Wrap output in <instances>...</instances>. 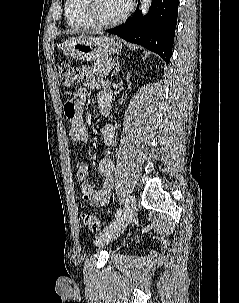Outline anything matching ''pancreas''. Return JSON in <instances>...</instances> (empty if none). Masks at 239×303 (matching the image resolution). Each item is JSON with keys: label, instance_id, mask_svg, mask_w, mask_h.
I'll list each match as a JSON object with an SVG mask.
<instances>
[{"label": "pancreas", "instance_id": "cf45deb5", "mask_svg": "<svg viewBox=\"0 0 239 303\" xmlns=\"http://www.w3.org/2000/svg\"><path fill=\"white\" fill-rule=\"evenodd\" d=\"M108 60H96L93 64V68L95 71L100 73L102 76H107L109 74L108 70V65H109Z\"/></svg>", "mask_w": 239, "mask_h": 303}]
</instances>
